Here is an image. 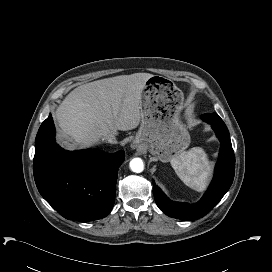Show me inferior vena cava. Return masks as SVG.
I'll return each instance as SVG.
<instances>
[{
	"label": "inferior vena cava",
	"mask_w": 272,
	"mask_h": 272,
	"mask_svg": "<svg viewBox=\"0 0 272 272\" xmlns=\"http://www.w3.org/2000/svg\"><path fill=\"white\" fill-rule=\"evenodd\" d=\"M106 142L110 143V144H116L117 140L114 134H109L105 137L104 139Z\"/></svg>",
	"instance_id": "obj_1"
}]
</instances>
